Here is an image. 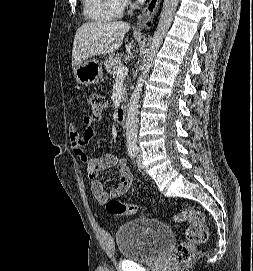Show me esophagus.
Segmentation results:
<instances>
[{
	"instance_id": "esophagus-1",
	"label": "esophagus",
	"mask_w": 253,
	"mask_h": 271,
	"mask_svg": "<svg viewBox=\"0 0 253 271\" xmlns=\"http://www.w3.org/2000/svg\"><path fill=\"white\" fill-rule=\"evenodd\" d=\"M161 0H149L142 13L138 17L137 28L142 29L151 20L160 7Z\"/></svg>"
}]
</instances>
